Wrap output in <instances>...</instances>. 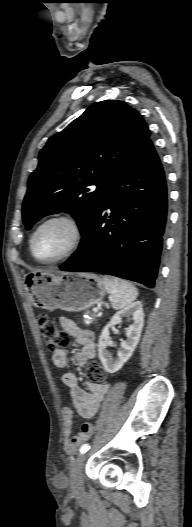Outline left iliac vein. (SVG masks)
<instances>
[{"instance_id": "obj_1", "label": "left iliac vein", "mask_w": 192, "mask_h": 527, "mask_svg": "<svg viewBox=\"0 0 192 527\" xmlns=\"http://www.w3.org/2000/svg\"><path fill=\"white\" fill-rule=\"evenodd\" d=\"M86 459V454H80L73 461L70 468V485L72 491L78 493L83 488V465Z\"/></svg>"}]
</instances>
